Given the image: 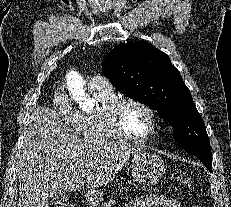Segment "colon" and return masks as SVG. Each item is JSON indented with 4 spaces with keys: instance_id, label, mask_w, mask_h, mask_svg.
<instances>
[{
    "instance_id": "colon-1",
    "label": "colon",
    "mask_w": 231,
    "mask_h": 207,
    "mask_svg": "<svg viewBox=\"0 0 231 207\" xmlns=\"http://www.w3.org/2000/svg\"><path fill=\"white\" fill-rule=\"evenodd\" d=\"M176 181L183 187L189 188L191 186V179L185 173H178L175 175ZM62 207H70L69 205H63Z\"/></svg>"
}]
</instances>
